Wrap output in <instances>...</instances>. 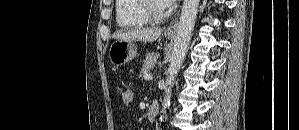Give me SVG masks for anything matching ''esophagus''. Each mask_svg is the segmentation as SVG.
<instances>
[{"mask_svg": "<svg viewBox=\"0 0 299 130\" xmlns=\"http://www.w3.org/2000/svg\"><path fill=\"white\" fill-rule=\"evenodd\" d=\"M179 13L180 10H178L176 17L173 19V21L167 26L165 29L166 34H174L176 32L178 21H179Z\"/></svg>", "mask_w": 299, "mask_h": 130, "instance_id": "obj_1", "label": "esophagus"}]
</instances>
